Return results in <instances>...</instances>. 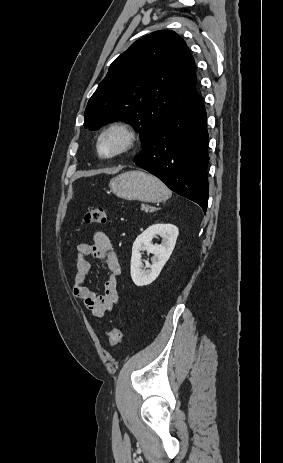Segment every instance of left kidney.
Returning <instances> with one entry per match:
<instances>
[{"label": "left kidney", "mask_w": 283, "mask_h": 463, "mask_svg": "<svg viewBox=\"0 0 283 463\" xmlns=\"http://www.w3.org/2000/svg\"><path fill=\"white\" fill-rule=\"evenodd\" d=\"M178 234L179 230L175 225L154 224L136 238L131 257V277L135 285L139 287L149 285L159 276L172 254ZM157 235L162 238V244L153 245L152 239ZM142 250L154 255L152 265L146 261L145 267L143 266ZM146 268L147 270H145Z\"/></svg>", "instance_id": "5707ae66"}]
</instances>
